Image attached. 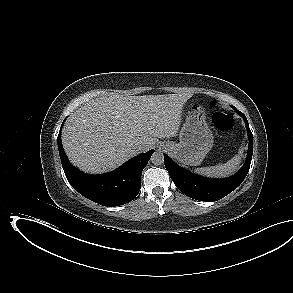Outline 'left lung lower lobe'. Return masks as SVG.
<instances>
[{
    "label": "left lung lower lobe",
    "mask_w": 293,
    "mask_h": 293,
    "mask_svg": "<svg viewBox=\"0 0 293 293\" xmlns=\"http://www.w3.org/2000/svg\"><path fill=\"white\" fill-rule=\"evenodd\" d=\"M245 121L248 132L249 147L246 162L233 176L226 179H208L183 169L176 165L166 154L164 164L175 186L188 197L196 200L212 202L217 201L235 190L245 179L251 164L253 154V135L249 128L246 116L236 110Z\"/></svg>",
    "instance_id": "obj_1"
}]
</instances>
